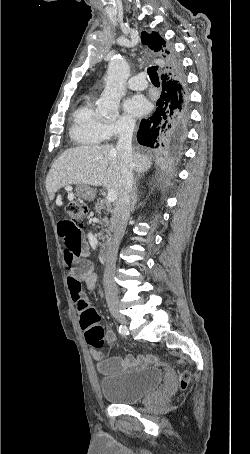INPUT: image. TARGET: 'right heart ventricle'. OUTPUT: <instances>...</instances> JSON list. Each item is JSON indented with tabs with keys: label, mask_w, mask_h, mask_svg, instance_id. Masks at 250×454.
Instances as JSON below:
<instances>
[{
	"label": "right heart ventricle",
	"mask_w": 250,
	"mask_h": 454,
	"mask_svg": "<svg viewBox=\"0 0 250 454\" xmlns=\"http://www.w3.org/2000/svg\"><path fill=\"white\" fill-rule=\"evenodd\" d=\"M69 133L75 144L84 147L98 146L109 138L106 123L96 114L91 101L75 111Z\"/></svg>",
	"instance_id": "right-heart-ventricle-1"
}]
</instances>
